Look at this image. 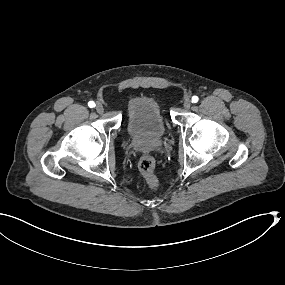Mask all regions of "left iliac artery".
Listing matches in <instances>:
<instances>
[{
    "instance_id": "left-iliac-artery-1",
    "label": "left iliac artery",
    "mask_w": 285,
    "mask_h": 285,
    "mask_svg": "<svg viewBox=\"0 0 285 285\" xmlns=\"http://www.w3.org/2000/svg\"><path fill=\"white\" fill-rule=\"evenodd\" d=\"M199 98L197 96L192 97V103H197Z\"/></svg>"
}]
</instances>
